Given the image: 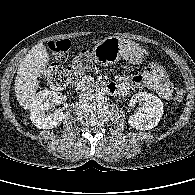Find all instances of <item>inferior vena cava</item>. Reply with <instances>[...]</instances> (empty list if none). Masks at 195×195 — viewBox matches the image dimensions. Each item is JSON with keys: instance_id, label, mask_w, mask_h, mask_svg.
I'll use <instances>...</instances> for the list:
<instances>
[{"instance_id": "obj_1", "label": "inferior vena cava", "mask_w": 195, "mask_h": 195, "mask_svg": "<svg viewBox=\"0 0 195 195\" xmlns=\"http://www.w3.org/2000/svg\"><path fill=\"white\" fill-rule=\"evenodd\" d=\"M79 97L83 100H86V99H90L93 97V91L90 90V89H83L80 94H79Z\"/></svg>"}]
</instances>
